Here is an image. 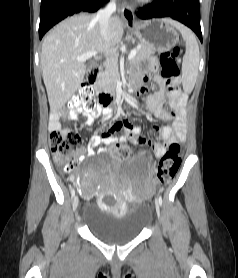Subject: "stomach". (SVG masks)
<instances>
[{
	"mask_svg": "<svg viewBox=\"0 0 238 278\" xmlns=\"http://www.w3.org/2000/svg\"><path fill=\"white\" fill-rule=\"evenodd\" d=\"M129 28L142 44L159 51L169 50L179 41V34L174 26L164 19L139 22Z\"/></svg>",
	"mask_w": 238,
	"mask_h": 278,
	"instance_id": "0dacf381",
	"label": "stomach"
}]
</instances>
